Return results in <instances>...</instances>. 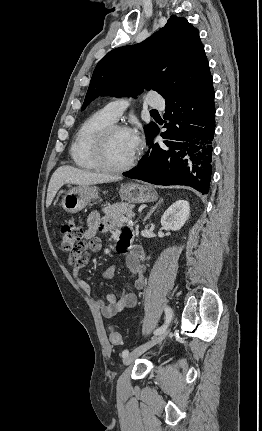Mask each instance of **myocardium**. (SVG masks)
<instances>
[{
    "mask_svg": "<svg viewBox=\"0 0 262 431\" xmlns=\"http://www.w3.org/2000/svg\"><path fill=\"white\" fill-rule=\"evenodd\" d=\"M117 131H128L124 125L113 123L104 127L97 135L94 148V158L101 170L111 173H121L131 169L138 160L139 152L136 151L132 158L120 166L111 165L107 158V144L111 135Z\"/></svg>",
    "mask_w": 262,
    "mask_h": 431,
    "instance_id": "obj_1",
    "label": "myocardium"
}]
</instances>
